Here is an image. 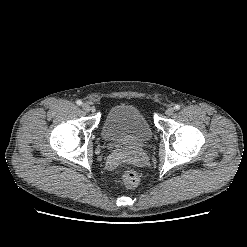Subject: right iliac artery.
I'll return each mask as SVG.
<instances>
[{"mask_svg":"<svg viewBox=\"0 0 247 247\" xmlns=\"http://www.w3.org/2000/svg\"><path fill=\"white\" fill-rule=\"evenodd\" d=\"M76 104H77V105H82V101H81V100H77V101H76Z\"/></svg>","mask_w":247,"mask_h":247,"instance_id":"82829eb1","label":"right iliac artery"}]
</instances>
